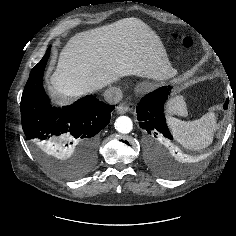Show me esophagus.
<instances>
[{"instance_id": "34e87169", "label": "esophagus", "mask_w": 236, "mask_h": 236, "mask_svg": "<svg viewBox=\"0 0 236 236\" xmlns=\"http://www.w3.org/2000/svg\"><path fill=\"white\" fill-rule=\"evenodd\" d=\"M134 105L133 104H127L125 102L120 103L117 107H116V112L118 114H125L129 111L133 110Z\"/></svg>"}]
</instances>
